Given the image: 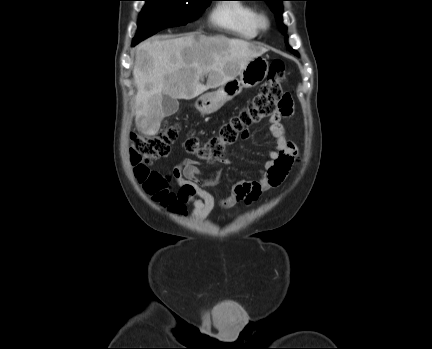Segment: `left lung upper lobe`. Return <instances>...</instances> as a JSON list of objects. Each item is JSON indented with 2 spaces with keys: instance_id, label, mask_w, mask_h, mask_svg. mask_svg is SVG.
<instances>
[{
  "instance_id": "5c2ea615",
  "label": "left lung upper lobe",
  "mask_w": 432,
  "mask_h": 349,
  "mask_svg": "<svg viewBox=\"0 0 432 349\" xmlns=\"http://www.w3.org/2000/svg\"><path fill=\"white\" fill-rule=\"evenodd\" d=\"M260 1H265L270 7V9L275 13L276 21L280 28V31L282 32L283 35H286V27L282 21V1L284 0H260ZM285 42L287 44V37L285 38ZM287 47L293 54L298 55V53L295 50H293L288 44Z\"/></svg>"
}]
</instances>
